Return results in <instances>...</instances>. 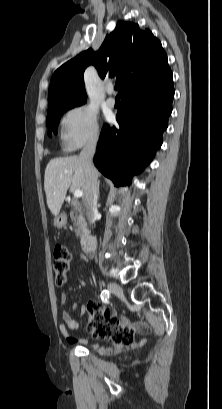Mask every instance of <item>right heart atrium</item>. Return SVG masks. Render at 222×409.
<instances>
[{
    "mask_svg": "<svg viewBox=\"0 0 222 409\" xmlns=\"http://www.w3.org/2000/svg\"><path fill=\"white\" fill-rule=\"evenodd\" d=\"M100 137L97 113L88 105L69 109L61 120V141L66 150L95 144Z\"/></svg>",
    "mask_w": 222,
    "mask_h": 409,
    "instance_id": "right-heart-atrium-1",
    "label": "right heart atrium"
}]
</instances>
